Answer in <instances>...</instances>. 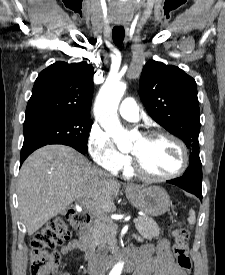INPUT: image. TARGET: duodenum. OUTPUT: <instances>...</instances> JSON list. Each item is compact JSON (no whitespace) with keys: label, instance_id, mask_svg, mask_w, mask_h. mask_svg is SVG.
<instances>
[{"label":"duodenum","instance_id":"obj_1","mask_svg":"<svg viewBox=\"0 0 225 275\" xmlns=\"http://www.w3.org/2000/svg\"><path fill=\"white\" fill-rule=\"evenodd\" d=\"M91 223H92V219L90 218V215H89L88 220H86L80 228V242H81L82 249L84 251V259L87 263V268L89 269V271L93 272L94 274L99 275L102 267L101 265L102 259L96 256L92 249L90 236L93 232V228ZM138 265H139V262L135 259L133 262L127 265V270L129 271L133 270L137 268Z\"/></svg>","mask_w":225,"mask_h":275}]
</instances>
